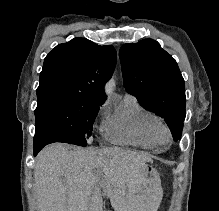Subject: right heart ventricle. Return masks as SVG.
Segmentation results:
<instances>
[{
  "label": "right heart ventricle",
  "mask_w": 219,
  "mask_h": 211,
  "mask_svg": "<svg viewBox=\"0 0 219 211\" xmlns=\"http://www.w3.org/2000/svg\"><path fill=\"white\" fill-rule=\"evenodd\" d=\"M160 119L135 98H124L104 122V131L116 144L155 149L161 144L156 128Z\"/></svg>",
  "instance_id": "right-heart-ventricle-1"
}]
</instances>
